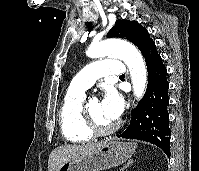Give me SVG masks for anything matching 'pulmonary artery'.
<instances>
[{
    "label": "pulmonary artery",
    "instance_id": "e3ab8cb5",
    "mask_svg": "<svg viewBox=\"0 0 199 171\" xmlns=\"http://www.w3.org/2000/svg\"><path fill=\"white\" fill-rule=\"evenodd\" d=\"M124 65L117 60L101 59L94 61L84 67L72 80L69 88L85 92L90 88L97 78L103 76H119L124 74Z\"/></svg>",
    "mask_w": 199,
    "mask_h": 171
}]
</instances>
